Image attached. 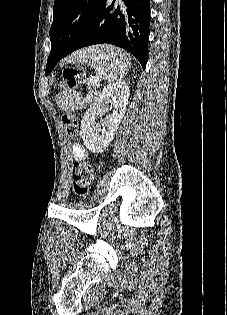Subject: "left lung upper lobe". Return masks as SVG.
Wrapping results in <instances>:
<instances>
[{"mask_svg":"<svg viewBox=\"0 0 227 315\" xmlns=\"http://www.w3.org/2000/svg\"><path fill=\"white\" fill-rule=\"evenodd\" d=\"M104 0H55L51 42L70 47L92 21Z\"/></svg>","mask_w":227,"mask_h":315,"instance_id":"obj_1","label":"left lung upper lobe"}]
</instances>
